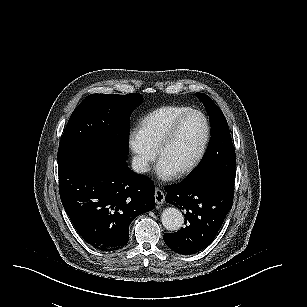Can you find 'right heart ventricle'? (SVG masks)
I'll use <instances>...</instances> for the list:
<instances>
[{
	"label": "right heart ventricle",
	"mask_w": 307,
	"mask_h": 307,
	"mask_svg": "<svg viewBox=\"0 0 307 307\" xmlns=\"http://www.w3.org/2000/svg\"><path fill=\"white\" fill-rule=\"evenodd\" d=\"M182 110L184 109L172 106L154 110L149 115V118L140 125L136 137L143 138L146 142L150 143L153 148L162 145L164 143L165 132L178 120V115Z\"/></svg>",
	"instance_id": "1"
}]
</instances>
